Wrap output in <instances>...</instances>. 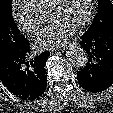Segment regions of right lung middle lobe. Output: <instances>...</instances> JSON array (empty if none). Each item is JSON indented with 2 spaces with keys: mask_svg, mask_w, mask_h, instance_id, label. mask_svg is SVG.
<instances>
[{
  "mask_svg": "<svg viewBox=\"0 0 113 113\" xmlns=\"http://www.w3.org/2000/svg\"><path fill=\"white\" fill-rule=\"evenodd\" d=\"M11 2L12 0H0V58L5 57L26 40L11 14Z\"/></svg>",
  "mask_w": 113,
  "mask_h": 113,
  "instance_id": "right-lung-middle-lobe-1",
  "label": "right lung middle lobe"
}]
</instances>
